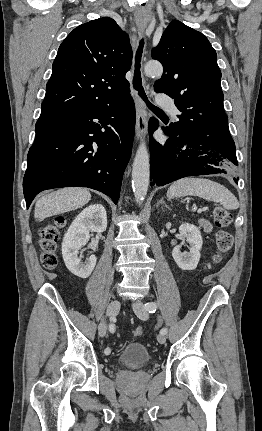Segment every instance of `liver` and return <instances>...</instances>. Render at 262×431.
Listing matches in <instances>:
<instances>
[{"instance_id": "liver-1", "label": "liver", "mask_w": 262, "mask_h": 431, "mask_svg": "<svg viewBox=\"0 0 262 431\" xmlns=\"http://www.w3.org/2000/svg\"><path fill=\"white\" fill-rule=\"evenodd\" d=\"M91 200V194L83 188H63L39 198L34 217L38 221L83 207Z\"/></svg>"}]
</instances>
